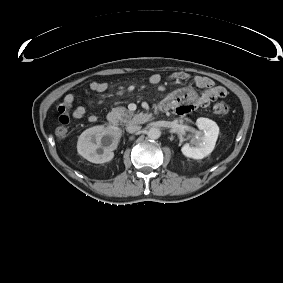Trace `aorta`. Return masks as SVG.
<instances>
[{
  "label": "aorta",
  "instance_id": "1",
  "mask_svg": "<svg viewBox=\"0 0 283 283\" xmlns=\"http://www.w3.org/2000/svg\"><path fill=\"white\" fill-rule=\"evenodd\" d=\"M147 136L150 139L156 140L161 136V131L159 128L151 127L147 132Z\"/></svg>",
  "mask_w": 283,
  "mask_h": 283
}]
</instances>
